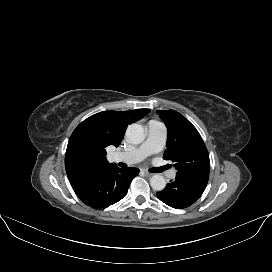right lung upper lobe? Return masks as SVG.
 <instances>
[{"instance_id": "right-lung-upper-lobe-1", "label": "right lung upper lobe", "mask_w": 272, "mask_h": 272, "mask_svg": "<svg viewBox=\"0 0 272 272\" xmlns=\"http://www.w3.org/2000/svg\"><path fill=\"white\" fill-rule=\"evenodd\" d=\"M150 109L103 111L80 123L73 131L65 154L70 183L113 166L106 160V147H118L129 124L142 119Z\"/></svg>"}]
</instances>
